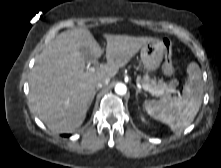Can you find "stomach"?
<instances>
[{
  "mask_svg": "<svg viewBox=\"0 0 221 168\" xmlns=\"http://www.w3.org/2000/svg\"><path fill=\"white\" fill-rule=\"evenodd\" d=\"M164 50L165 45L159 39H153L142 46L140 57L148 73H154L159 68L163 60Z\"/></svg>",
  "mask_w": 221,
  "mask_h": 168,
  "instance_id": "0dacf381",
  "label": "stomach"
}]
</instances>
